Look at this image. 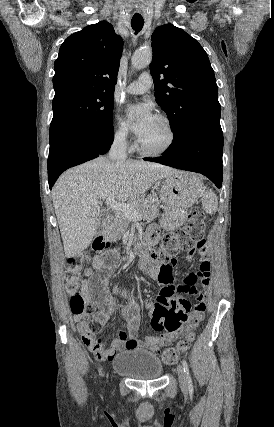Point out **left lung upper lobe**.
<instances>
[{
  "mask_svg": "<svg viewBox=\"0 0 274 427\" xmlns=\"http://www.w3.org/2000/svg\"><path fill=\"white\" fill-rule=\"evenodd\" d=\"M151 39L150 71L156 102L166 112L174 133L171 145L180 144L200 126H220L218 87L202 46L172 24L156 28Z\"/></svg>",
  "mask_w": 274,
  "mask_h": 427,
  "instance_id": "obj_1",
  "label": "left lung upper lobe"
}]
</instances>
